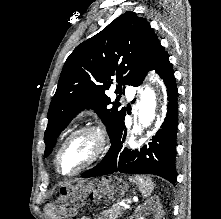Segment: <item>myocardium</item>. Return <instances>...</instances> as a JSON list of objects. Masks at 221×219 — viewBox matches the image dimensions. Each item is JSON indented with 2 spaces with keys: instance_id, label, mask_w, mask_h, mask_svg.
Listing matches in <instances>:
<instances>
[{
  "instance_id": "myocardium-1",
  "label": "myocardium",
  "mask_w": 221,
  "mask_h": 219,
  "mask_svg": "<svg viewBox=\"0 0 221 219\" xmlns=\"http://www.w3.org/2000/svg\"><path fill=\"white\" fill-rule=\"evenodd\" d=\"M84 134H91L95 139L96 145H95V150L92 156L83 166H81L76 171L72 173H63L59 168V159H60V155L63 149L68 145V143L71 140ZM108 144H109V136H108L107 130L102 125L89 124V125L83 126L73 131L71 134H69L65 138V140L61 143L55 155V168L60 175L65 176V177H72V176L78 175L79 173L93 166L104 155V153L106 152L108 148Z\"/></svg>"
}]
</instances>
